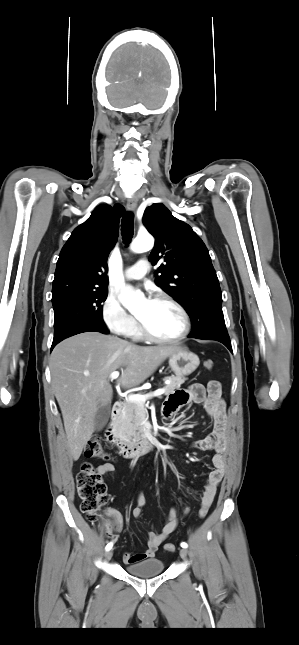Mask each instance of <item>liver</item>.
<instances>
[{"instance_id":"6515ba94","label":"liver","mask_w":299,"mask_h":645,"mask_svg":"<svg viewBox=\"0 0 299 645\" xmlns=\"http://www.w3.org/2000/svg\"><path fill=\"white\" fill-rule=\"evenodd\" d=\"M177 345L137 346L115 336L86 332L60 342L50 357L51 384L63 416L70 455L77 461L95 430L100 406L109 404V375L133 388L151 376Z\"/></svg>"}]
</instances>
